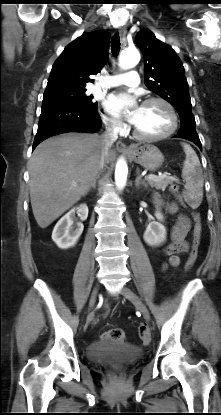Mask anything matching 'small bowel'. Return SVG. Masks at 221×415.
Listing matches in <instances>:
<instances>
[{
  "label": "small bowel",
  "instance_id": "1",
  "mask_svg": "<svg viewBox=\"0 0 221 415\" xmlns=\"http://www.w3.org/2000/svg\"><path fill=\"white\" fill-rule=\"evenodd\" d=\"M154 203L158 207L164 208L168 213L175 214L178 211L175 202H165L160 197H155ZM191 223L189 218L184 215H178L177 221L172 228L170 242L165 246L164 252L168 256V261L164 267H176L180 264L179 254L189 250V243L185 237L190 229Z\"/></svg>",
  "mask_w": 221,
  "mask_h": 415
}]
</instances>
